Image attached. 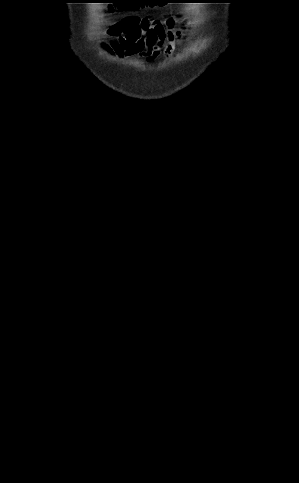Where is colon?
<instances>
[{
	"instance_id": "obj_1",
	"label": "colon",
	"mask_w": 299,
	"mask_h": 483,
	"mask_svg": "<svg viewBox=\"0 0 299 483\" xmlns=\"http://www.w3.org/2000/svg\"><path fill=\"white\" fill-rule=\"evenodd\" d=\"M129 2H130V1H124V2H123V1H120V4H122V3H123V4L130 5V4H129Z\"/></svg>"
}]
</instances>
